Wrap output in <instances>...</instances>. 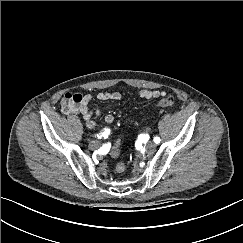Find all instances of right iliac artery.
Returning <instances> with one entry per match:
<instances>
[{"mask_svg":"<svg viewBox=\"0 0 243 243\" xmlns=\"http://www.w3.org/2000/svg\"><path fill=\"white\" fill-rule=\"evenodd\" d=\"M98 138H102V136L101 135H98Z\"/></svg>","mask_w":243,"mask_h":243,"instance_id":"1","label":"right iliac artery"}]
</instances>
